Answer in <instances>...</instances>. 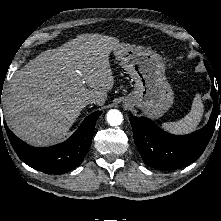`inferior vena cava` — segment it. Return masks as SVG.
Instances as JSON below:
<instances>
[{"label":"inferior vena cava","instance_id":"1","mask_svg":"<svg viewBox=\"0 0 221 221\" xmlns=\"http://www.w3.org/2000/svg\"><path fill=\"white\" fill-rule=\"evenodd\" d=\"M93 103H96L95 99L93 98H88L85 100V104H93Z\"/></svg>","mask_w":221,"mask_h":221}]
</instances>
